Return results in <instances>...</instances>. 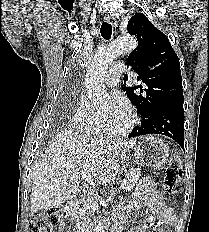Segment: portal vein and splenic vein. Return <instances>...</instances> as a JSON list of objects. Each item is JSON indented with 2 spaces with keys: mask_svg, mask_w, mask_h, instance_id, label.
Instances as JSON below:
<instances>
[{
  "mask_svg": "<svg viewBox=\"0 0 209 232\" xmlns=\"http://www.w3.org/2000/svg\"><path fill=\"white\" fill-rule=\"evenodd\" d=\"M82 178L85 179L87 181V183H89L93 188L96 187V184L94 183V180L92 179V176L90 173L83 172ZM126 186H127V181L123 180L121 183V189H126Z\"/></svg>",
  "mask_w": 209,
  "mask_h": 232,
  "instance_id": "18ae733b",
  "label": "portal vein and splenic vein"
}]
</instances>
